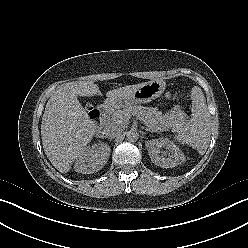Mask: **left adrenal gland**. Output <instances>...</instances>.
Segmentation results:
<instances>
[{
  "mask_svg": "<svg viewBox=\"0 0 248 248\" xmlns=\"http://www.w3.org/2000/svg\"><path fill=\"white\" fill-rule=\"evenodd\" d=\"M146 131H150L149 129H146ZM151 132H153V131H151Z\"/></svg>",
  "mask_w": 248,
  "mask_h": 248,
  "instance_id": "obj_1",
  "label": "left adrenal gland"
}]
</instances>
